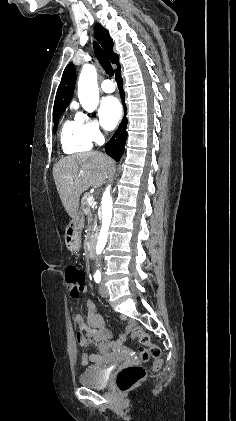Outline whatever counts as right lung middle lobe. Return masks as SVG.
I'll return each mask as SVG.
<instances>
[{"label": "right lung middle lobe", "instance_id": "right-lung-middle-lobe-1", "mask_svg": "<svg viewBox=\"0 0 236 421\" xmlns=\"http://www.w3.org/2000/svg\"><path fill=\"white\" fill-rule=\"evenodd\" d=\"M66 108H62V109H57V110H53V119H54V131L57 129V125H58V120L61 117V115L64 113Z\"/></svg>", "mask_w": 236, "mask_h": 421}]
</instances>
